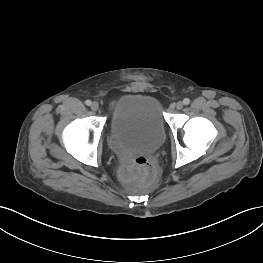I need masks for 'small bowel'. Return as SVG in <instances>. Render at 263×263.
Returning a JSON list of instances; mask_svg holds the SVG:
<instances>
[{
	"label": "small bowel",
	"instance_id": "c3829d8e",
	"mask_svg": "<svg viewBox=\"0 0 263 263\" xmlns=\"http://www.w3.org/2000/svg\"><path fill=\"white\" fill-rule=\"evenodd\" d=\"M133 176V174L131 173L130 171V167H126L122 170V177L125 179V180H128L130 179L131 177Z\"/></svg>",
	"mask_w": 263,
	"mask_h": 263
}]
</instances>
